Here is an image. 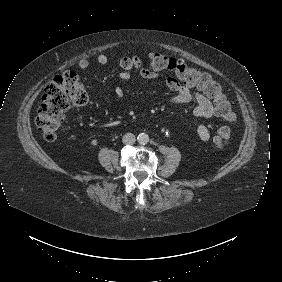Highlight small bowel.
Returning a JSON list of instances; mask_svg holds the SVG:
<instances>
[{
	"mask_svg": "<svg viewBox=\"0 0 282 282\" xmlns=\"http://www.w3.org/2000/svg\"><path fill=\"white\" fill-rule=\"evenodd\" d=\"M96 61L100 65H105L108 62V57L105 54H99ZM90 66V62L87 58H82L78 61V67L81 69H87ZM121 71L118 78L121 82H127L131 79V70L136 69L141 78L146 80H159L162 79L166 87L171 90L167 98V101L174 105H186L194 102L195 107L193 109V115L195 118H212L217 116L212 101L207 94L198 87V90L192 91L189 86L181 84L176 78L172 76H162L158 72L150 70L142 66L141 60L137 56H125L120 59ZM116 96L119 99H123L124 91L120 86L115 88ZM199 139L203 142H207L210 139V131L206 125H198L196 128Z\"/></svg>",
	"mask_w": 282,
	"mask_h": 282,
	"instance_id": "obj_1",
	"label": "small bowel"
}]
</instances>
